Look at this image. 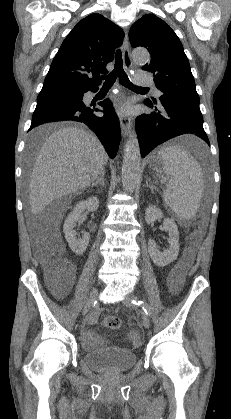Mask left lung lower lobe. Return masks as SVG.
<instances>
[{
  "label": "left lung lower lobe",
  "mask_w": 231,
  "mask_h": 419,
  "mask_svg": "<svg viewBox=\"0 0 231 419\" xmlns=\"http://www.w3.org/2000/svg\"><path fill=\"white\" fill-rule=\"evenodd\" d=\"M199 102L192 99L161 100L163 111L142 114L136 118V130L142 157H145L157 145L183 134H194L208 145L209 139L203 129V117ZM145 100L148 107L157 111V106Z\"/></svg>",
  "instance_id": "obj_1"
}]
</instances>
